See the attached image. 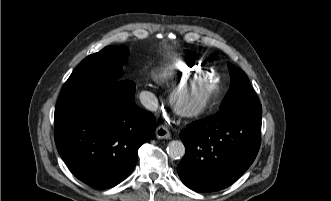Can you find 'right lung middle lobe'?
I'll list each match as a JSON object with an SVG mask.
<instances>
[{
	"mask_svg": "<svg viewBox=\"0 0 331 201\" xmlns=\"http://www.w3.org/2000/svg\"><path fill=\"white\" fill-rule=\"evenodd\" d=\"M128 55L127 47L107 46L89 55L75 68L64 84L59 100L102 82L122 80V65Z\"/></svg>",
	"mask_w": 331,
	"mask_h": 201,
	"instance_id": "right-lung-middle-lobe-1",
	"label": "right lung middle lobe"
}]
</instances>
